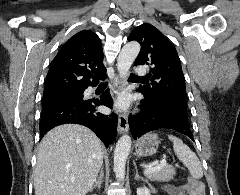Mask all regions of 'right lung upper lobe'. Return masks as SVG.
<instances>
[{
    "label": "right lung upper lobe",
    "mask_w": 240,
    "mask_h": 195,
    "mask_svg": "<svg viewBox=\"0 0 240 195\" xmlns=\"http://www.w3.org/2000/svg\"><path fill=\"white\" fill-rule=\"evenodd\" d=\"M106 77L99 37L89 30L72 36L53 59L43 95L83 91Z\"/></svg>",
    "instance_id": "right-lung-upper-lobe-1"
}]
</instances>
